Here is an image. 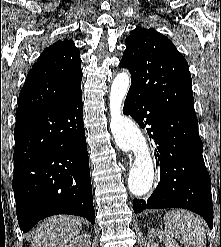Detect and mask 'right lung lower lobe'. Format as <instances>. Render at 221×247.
Instances as JSON below:
<instances>
[{
    "mask_svg": "<svg viewBox=\"0 0 221 247\" xmlns=\"http://www.w3.org/2000/svg\"><path fill=\"white\" fill-rule=\"evenodd\" d=\"M13 191L20 229L72 214L95 223L82 94L16 115Z\"/></svg>",
    "mask_w": 221,
    "mask_h": 247,
    "instance_id": "1",
    "label": "right lung lower lobe"
}]
</instances>
